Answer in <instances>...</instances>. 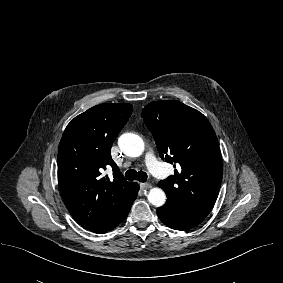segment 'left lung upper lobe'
Here are the masks:
<instances>
[{
	"mask_svg": "<svg viewBox=\"0 0 283 283\" xmlns=\"http://www.w3.org/2000/svg\"><path fill=\"white\" fill-rule=\"evenodd\" d=\"M142 117L160 157L181 167L158 183L167 195L165 204L206 217L222 179L221 152L211 124L202 113L176 100L151 102Z\"/></svg>",
	"mask_w": 283,
	"mask_h": 283,
	"instance_id": "1",
	"label": "left lung upper lobe"
}]
</instances>
